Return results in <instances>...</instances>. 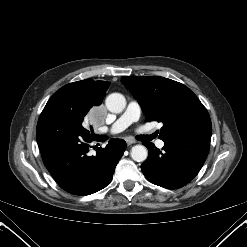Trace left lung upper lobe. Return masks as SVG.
Listing matches in <instances>:
<instances>
[{
  "label": "left lung upper lobe",
  "instance_id": "left-lung-upper-lobe-1",
  "mask_svg": "<svg viewBox=\"0 0 247 247\" xmlns=\"http://www.w3.org/2000/svg\"><path fill=\"white\" fill-rule=\"evenodd\" d=\"M121 82L132 93L146 121L163 123V141L187 134H211L210 116L198 97L185 85L159 76H123Z\"/></svg>",
  "mask_w": 247,
  "mask_h": 247
}]
</instances>
